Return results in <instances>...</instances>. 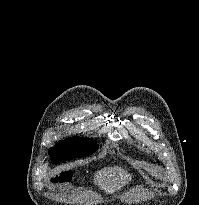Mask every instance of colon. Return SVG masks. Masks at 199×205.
Segmentation results:
<instances>
[{"label":"colon","mask_w":199,"mask_h":205,"mask_svg":"<svg viewBox=\"0 0 199 205\" xmlns=\"http://www.w3.org/2000/svg\"><path fill=\"white\" fill-rule=\"evenodd\" d=\"M71 174L69 172H62L55 176L53 182L55 183H68L71 180Z\"/></svg>","instance_id":"1"}]
</instances>
